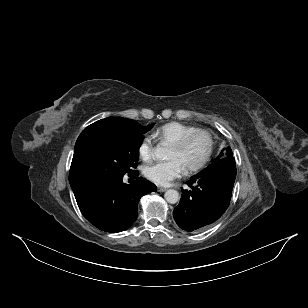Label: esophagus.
<instances>
[{"label": "esophagus", "mask_w": 308, "mask_h": 308, "mask_svg": "<svg viewBox=\"0 0 308 308\" xmlns=\"http://www.w3.org/2000/svg\"><path fill=\"white\" fill-rule=\"evenodd\" d=\"M157 189H158L159 192H165L167 190V188L161 187V186H158Z\"/></svg>", "instance_id": "34e87169"}]
</instances>
